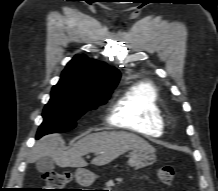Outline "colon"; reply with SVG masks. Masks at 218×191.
<instances>
[{"label":"colon","instance_id":"colon-1","mask_svg":"<svg viewBox=\"0 0 218 191\" xmlns=\"http://www.w3.org/2000/svg\"><path fill=\"white\" fill-rule=\"evenodd\" d=\"M157 177L163 184H171L174 181L175 171L172 166H162L157 170ZM45 189L42 191H71L67 189L71 181L68 172H48L43 175Z\"/></svg>","mask_w":218,"mask_h":191}]
</instances>
